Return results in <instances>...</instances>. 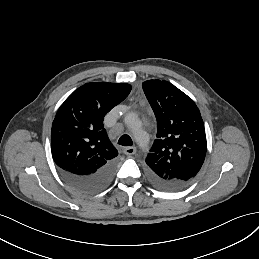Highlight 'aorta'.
<instances>
[{
    "label": "aorta",
    "instance_id": "obj_1",
    "mask_svg": "<svg viewBox=\"0 0 259 259\" xmlns=\"http://www.w3.org/2000/svg\"><path fill=\"white\" fill-rule=\"evenodd\" d=\"M127 123H128L129 126L134 127L135 124H136V119H135V118H130V119H128ZM135 136H136L137 142H138L141 146H144L145 143H144V141L141 139V132H140V131H136Z\"/></svg>",
    "mask_w": 259,
    "mask_h": 259
}]
</instances>
